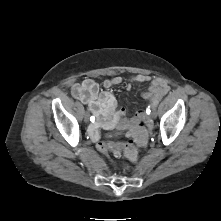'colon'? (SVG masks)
Instances as JSON below:
<instances>
[{
	"instance_id": "1",
	"label": "colon",
	"mask_w": 221,
	"mask_h": 221,
	"mask_svg": "<svg viewBox=\"0 0 221 221\" xmlns=\"http://www.w3.org/2000/svg\"><path fill=\"white\" fill-rule=\"evenodd\" d=\"M141 123H133L130 130L131 141L127 143H111L101 141L97 144V148L104 154L111 153L115 157L124 156L128 160L135 162L138 159V147L146 145V136L140 129Z\"/></svg>"
}]
</instances>
